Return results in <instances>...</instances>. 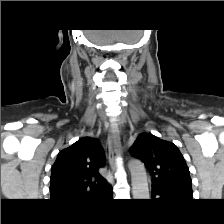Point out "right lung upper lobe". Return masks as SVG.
Returning a JSON list of instances; mask_svg holds the SVG:
<instances>
[{
  "mask_svg": "<svg viewBox=\"0 0 224 224\" xmlns=\"http://www.w3.org/2000/svg\"><path fill=\"white\" fill-rule=\"evenodd\" d=\"M99 141L84 137L62 150L52 166L51 200L74 205L89 198L110 197L112 187L99 174L105 165Z\"/></svg>",
  "mask_w": 224,
  "mask_h": 224,
  "instance_id": "right-lung-upper-lobe-1",
  "label": "right lung upper lobe"
}]
</instances>
